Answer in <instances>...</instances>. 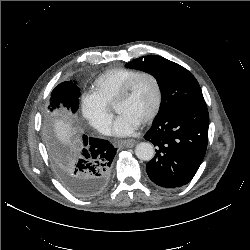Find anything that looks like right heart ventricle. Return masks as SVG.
<instances>
[{
	"label": "right heart ventricle",
	"mask_w": 250,
	"mask_h": 250,
	"mask_svg": "<svg viewBox=\"0 0 250 250\" xmlns=\"http://www.w3.org/2000/svg\"><path fill=\"white\" fill-rule=\"evenodd\" d=\"M139 73L131 68H113L99 75L91 84L89 94L102 105L112 106L124 84Z\"/></svg>",
	"instance_id": "e07e8e85"
}]
</instances>
